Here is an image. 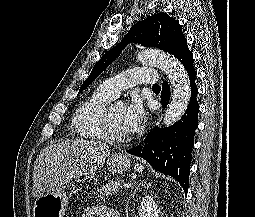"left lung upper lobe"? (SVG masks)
Listing matches in <instances>:
<instances>
[{
  "mask_svg": "<svg viewBox=\"0 0 255 217\" xmlns=\"http://www.w3.org/2000/svg\"><path fill=\"white\" fill-rule=\"evenodd\" d=\"M132 42L145 47H156L172 55L187 46V39L177 20L164 13L149 16L132 26L121 42L102 56L80 87L78 94L88 87Z\"/></svg>",
  "mask_w": 255,
  "mask_h": 217,
  "instance_id": "obj_1",
  "label": "left lung upper lobe"
}]
</instances>
